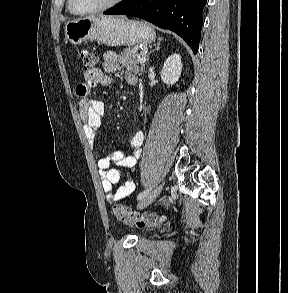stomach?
Here are the masks:
<instances>
[{"label": "stomach", "mask_w": 288, "mask_h": 293, "mask_svg": "<svg viewBox=\"0 0 288 293\" xmlns=\"http://www.w3.org/2000/svg\"><path fill=\"white\" fill-rule=\"evenodd\" d=\"M66 40L72 45L97 41L108 46H135L152 43L154 30L146 23L117 16L95 15L65 24Z\"/></svg>", "instance_id": "obj_1"}]
</instances>
